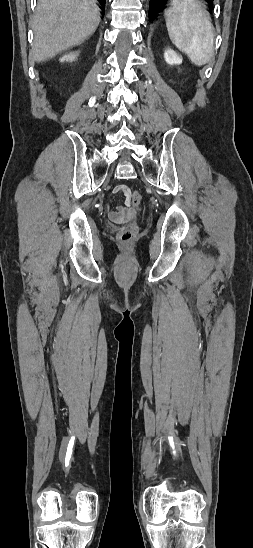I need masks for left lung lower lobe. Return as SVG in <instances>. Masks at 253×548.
I'll list each match as a JSON object with an SVG mask.
<instances>
[{"mask_svg": "<svg viewBox=\"0 0 253 548\" xmlns=\"http://www.w3.org/2000/svg\"><path fill=\"white\" fill-rule=\"evenodd\" d=\"M166 1L167 0H150L149 14L151 15L157 12L161 8V5ZM205 1L208 2V4L212 7L213 0H205Z\"/></svg>", "mask_w": 253, "mask_h": 548, "instance_id": "left-lung-lower-lobe-1", "label": "left lung lower lobe"}]
</instances>
